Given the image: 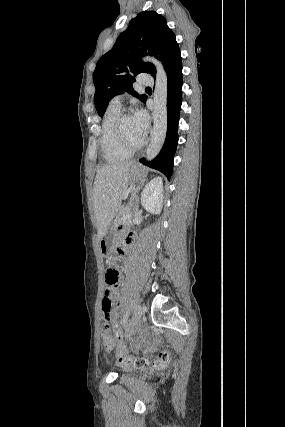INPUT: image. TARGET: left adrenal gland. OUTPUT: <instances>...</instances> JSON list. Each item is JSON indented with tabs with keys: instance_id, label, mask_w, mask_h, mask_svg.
I'll return each instance as SVG.
<instances>
[{
	"instance_id": "1",
	"label": "left adrenal gland",
	"mask_w": 285,
	"mask_h": 427,
	"mask_svg": "<svg viewBox=\"0 0 285 427\" xmlns=\"http://www.w3.org/2000/svg\"><path fill=\"white\" fill-rule=\"evenodd\" d=\"M142 186L137 187V189L135 190V192L133 193L132 197H131V201H135V208L137 210V208L139 207V198L136 195V193L141 189Z\"/></svg>"
}]
</instances>
